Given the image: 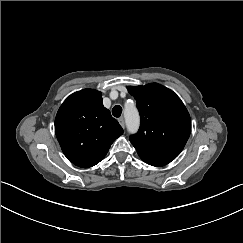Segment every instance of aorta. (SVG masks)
I'll return each mask as SVG.
<instances>
[{"instance_id": "aorta-1", "label": "aorta", "mask_w": 243, "mask_h": 243, "mask_svg": "<svg viewBox=\"0 0 243 243\" xmlns=\"http://www.w3.org/2000/svg\"><path fill=\"white\" fill-rule=\"evenodd\" d=\"M125 120L129 130L135 131L138 128L139 117L133 106L126 107Z\"/></svg>"}]
</instances>
